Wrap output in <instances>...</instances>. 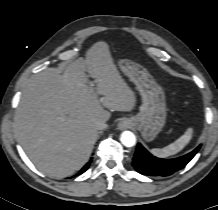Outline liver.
Masks as SVG:
<instances>
[{"label": "liver", "mask_w": 218, "mask_h": 210, "mask_svg": "<svg viewBox=\"0 0 218 210\" xmlns=\"http://www.w3.org/2000/svg\"><path fill=\"white\" fill-rule=\"evenodd\" d=\"M88 77L95 79V87L88 85ZM135 105L136 96L121 77L109 46L98 42L86 60L67 65L63 73L49 68L28 81L15 116L16 134L41 172L64 178L88 161L98 136L96 123L111 116L106 109L131 111Z\"/></svg>", "instance_id": "6515ba94"}]
</instances>
